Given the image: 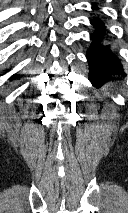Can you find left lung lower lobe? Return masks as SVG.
<instances>
[{"label":"left lung lower lobe","mask_w":128,"mask_h":213,"mask_svg":"<svg viewBox=\"0 0 128 213\" xmlns=\"http://www.w3.org/2000/svg\"><path fill=\"white\" fill-rule=\"evenodd\" d=\"M93 9H97V7L93 6ZM91 24L95 27V39L87 51V59L90 66L89 79L96 85V82L104 80L112 74L122 73L123 68L109 46L100 45L102 40L100 33L104 35V23L99 18H95L91 20Z\"/></svg>","instance_id":"1"}]
</instances>
